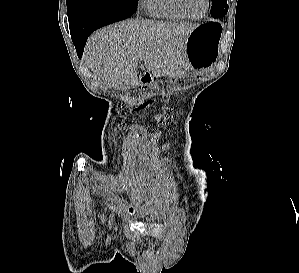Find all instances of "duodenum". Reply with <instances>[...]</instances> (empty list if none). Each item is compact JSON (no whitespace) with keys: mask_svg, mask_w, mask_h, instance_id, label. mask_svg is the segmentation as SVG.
Wrapping results in <instances>:
<instances>
[{"mask_svg":"<svg viewBox=\"0 0 299 273\" xmlns=\"http://www.w3.org/2000/svg\"><path fill=\"white\" fill-rule=\"evenodd\" d=\"M151 80V75L149 73H145L144 76L142 77V81L144 83H148Z\"/></svg>","mask_w":299,"mask_h":273,"instance_id":"410a0bca","label":"duodenum"}]
</instances>
